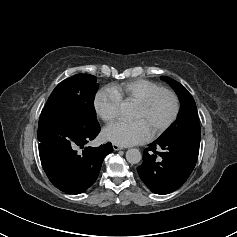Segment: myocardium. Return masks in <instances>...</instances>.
<instances>
[{"label":"myocardium","instance_id":"myocardium-1","mask_svg":"<svg viewBox=\"0 0 237 237\" xmlns=\"http://www.w3.org/2000/svg\"><path fill=\"white\" fill-rule=\"evenodd\" d=\"M168 95L172 98L173 103H174V108L171 116L167 121H165L162 125L157 127L151 134L150 138L154 139L158 136H160L163 132H165L177 119L179 112H180V100L178 95L169 89H161L159 91H156L146 98L138 101L135 103V106L140 108L142 111L146 112L148 111L151 106L155 103V101L160 98L161 96Z\"/></svg>","mask_w":237,"mask_h":237}]
</instances>
